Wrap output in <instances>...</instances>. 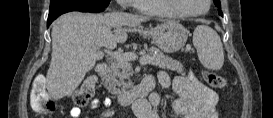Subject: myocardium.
Returning <instances> with one entry per match:
<instances>
[{"label":"myocardium","mask_w":273,"mask_h":118,"mask_svg":"<svg viewBox=\"0 0 273 118\" xmlns=\"http://www.w3.org/2000/svg\"><path fill=\"white\" fill-rule=\"evenodd\" d=\"M168 5L175 10L179 15L184 16V17H198L201 15L206 14L211 6V1L210 0H204L206 2V8L203 11H198V12H190L187 11L183 8L180 0H165Z\"/></svg>","instance_id":"f54148a6"}]
</instances>
